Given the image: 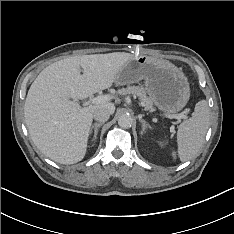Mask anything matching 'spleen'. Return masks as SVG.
<instances>
[{
  "mask_svg": "<svg viewBox=\"0 0 234 234\" xmlns=\"http://www.w3.org/2000/svg\"><path fill=\"white\" fill-rule=\"evenodd\" d=\"M210 125V110L205 100L195 105L192 117L182 122L177 131L178 157L182 162L191 160L200 150ZM176 158V152H172Z\"/></svg>",
  "mask_w": 234,
  "mask_h": 234,
  "instance_id": "obj_1",
  "label": "spleen"
}]
</instances>
